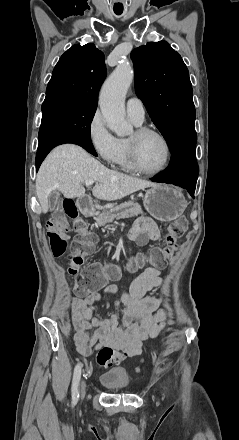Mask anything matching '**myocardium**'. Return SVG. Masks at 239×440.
Returning a JSON list of instances; mask_svg holds the SVG:
<instances>
[{"label":"myocardium","instance_id":"1","mask_svg":"<svg viewBox=\"0 0 239 440\" xmlns=\"http://www.w3.org/2000/svg\"><path fill=\"white\" fill-rule=\"evenodd\" d=\"M135 134L137 137H144L146 135H154L157 136L158 138H160L166 148V160L164 165L159 168L158 170L155 171H149L147 169H145L140 161H139V157H138V151H137V147L135 145V143L133 141H131L130 139L127 140V148H128V154H129V159H130V163L131 166L133 168V170L147 175V176H156L159 175L161 173H163L164 171L167 170V168L169 167L170 163H171V159H172V146L171 143L169 141V139L167 138V136L162 133L161 131H159L156 128H152V127H147V126H140L135 130Z\"/></svg>","mask_w":239,"mask_h":440}]
</instances>
